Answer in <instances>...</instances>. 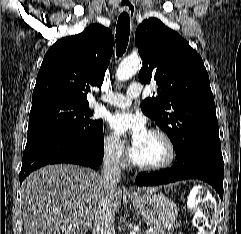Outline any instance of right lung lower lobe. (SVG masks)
<instances>
[{"instance_id":"right-lung-lower-lobe-1","label":"right lung lower lobe","mask_w":241,"mask_h":234,"mask_svg":"<svg viewBox=\"0 0 241 234\" xmlns=\"http://www.w3.org/2000/svg\"><path fill=\"white\" fill-rule=\"evenodd\" d=\"M103 152V129L90 139L63 130L30 133L23 153L20 184L32 171L47 164L72 163L95 168L101 163Z\"/></svg>"}]
</instances>
